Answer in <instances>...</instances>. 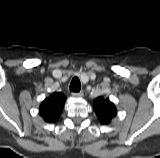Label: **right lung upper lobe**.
<instances>
[{"label":"right lung upper lobe","mask_w":160,"mask_h":158,"mask_svg":"<svg viewBox=\"0 0 160 158\" xmlns=\"http://www.w3.org/2000/svg\"><path fill=\"white\" fill-rule=\"evenodd\" d=\"M66 97L63 93H53L40 105L39 113L46 122H56L61 115Z\"/></svg>","instance_id":"right-lung-upper-lobe-1"}]
</instances>
